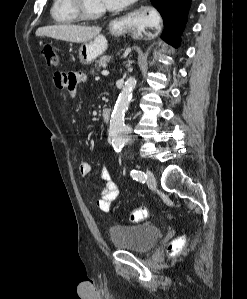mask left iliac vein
Returning a JSON list of instances; mask_svg holds the SVG:
<instances>
[{
    "label": "left iliac vein",
    "mask_w": 247,
    "mask_h": 299,
    "mask_svg": "<svg viewBox=\"0 0 247 299\" xmlns=\"http://www.w3.org/2000/svg\"><path fill=\"white\" fill-rule=\"evenodd\" d=\"M146 176H147V179H146V183L147 185L150 187V188H154L156 187L157 185V182H156V179L153 175V173L149 170L146 171Z\"/></svg>",
    "instance_id": "4c4485c4"
}]
</instances>
